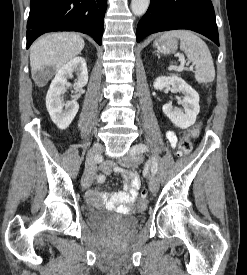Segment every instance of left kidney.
<instances>
[{
	"instance_id": "1",
	"label": "left kidney",
	"mask_w": 247,
	"mask_h": 275,
	"mask_svg": "<svg viewBox=\"0 0 247 275\" xmlns=\"http://www.w3.org/2000/svg\"><path fill=\"white\" fill-rule=\"evenodd\" d=\"M170 86L176 91L184 94L181 101L184 112L173 108L170 104L163 105V112L177 127L186 129L195 123L196 117L199 114V95L190 85L178 76H162L158 77L154 82V88L156 90H164L165 88H170Z\"/></svg>"
}]
</instances>
